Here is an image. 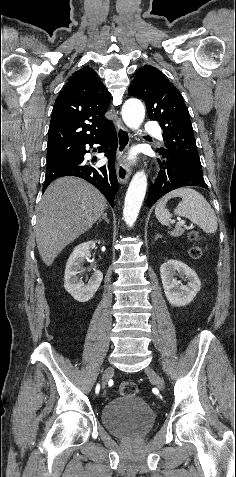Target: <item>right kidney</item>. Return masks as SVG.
<instances>
[{"instance_id": "obj_1", "label": "right kidney", "mask_w": 236, "mask_h": 477, "mask_svg": "<svg viewBox=\"0 0 236 477\" xmlns=\"http://www.w3.org/2000/svg\"><path fill=\"white\" fill-rule=\"evenodd\" d=\"M93 244H95L94 241H89L75 247L66 263L64 287L79 302L89 301L97 292L103 279L102 272L98 270L93 273L86 284L77 276L84 261L90 256V247Z\"/></svg>"}]
</instances>
